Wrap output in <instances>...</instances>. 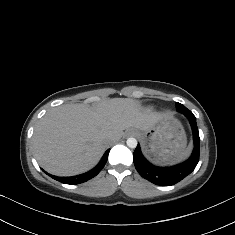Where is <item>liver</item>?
Instances as JSON below:
<instances>
[{
    "instance_id": "liver-1",
    "label": "liver",
    "mask_w": 235,
    "mask_h": 235,
    "mask_svg": "<svg viewBox=\"0 0 235 235\" xmlns=\"http://www.w3.org/2000/svg\"><path fill=\"white\" fill-rule=\"evenodd\" d=\"M170 116L144 109L139 101L113 98L95 108L61 105L47 112L32 137L39 165L56 176H73L92 169L109 143L124 130H147Z\"/></svg>"
}]
</instances>
